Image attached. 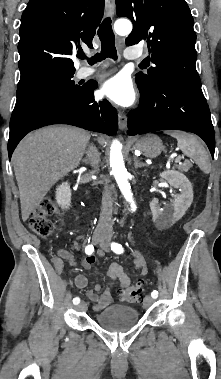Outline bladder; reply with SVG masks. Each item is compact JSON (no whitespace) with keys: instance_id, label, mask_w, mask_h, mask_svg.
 <instances>
[{"instance_id":"31cf9c89","label":"bladder","mask_w":221,"mask_h":379,"mask_svg":"<svg viewBox=\"0 0 221 379\" xmlns=\"http://www.w3.org/2000/svg\"><path fill=\"white\" fill-rule=\"evenodd\" d=\"M95 322L110 332H124L139 321L138 311L127 305L113 304L94 316Z\"/></svg>"}]
</instances>
